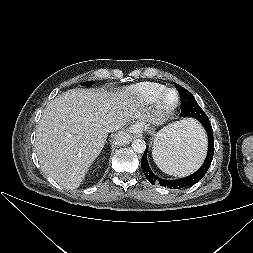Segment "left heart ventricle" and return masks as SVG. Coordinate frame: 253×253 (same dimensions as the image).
I'll use <instances>...</instances> for the list:
<instances>
[{"label": "left heart ventricle", "mask_w": 253, "mask_h": 253, "mask_svg": "<svg viewBox=\"0 0 253 253\" xmlns=\"http://www.w3.org/2000/svg\"><path fill=\"white\" fill-rule=\"evenodd\" d=\"M175 98H176L175 93H174V92H170V93H168L167 96H166V102H167L168 104H171V103H173V102L175 101Z\"/></svg>", "instance_id": "left-heart-ventricle-1"}]
</instances>
